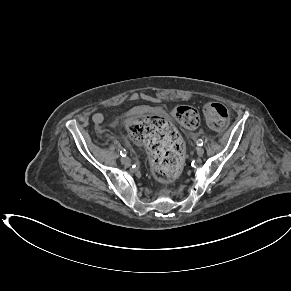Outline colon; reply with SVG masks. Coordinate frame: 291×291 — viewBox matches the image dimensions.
<instances>
[{
  "instance_id": "5ec220e1",
  "label": "colon",
  "mask_w": 291,
  "mask_h": 291,
  "mask_svg": "<svg viewBox=\"0 0 291 291\" xmlns=\"http://www.w3.org/2000/svg\"><path fill=\"white\" fill-rule=\"evenodd\" d=\"M202 111L206 123L213 129L222 130L227 126L229 114L222 104L207 103ZM173 117L188 129H195L200 123L198 112L187 105L176 106ZM128 129L132 138L148 149L159 182L169 183L180 176L185 147L171 123L159 116L144 115L130 120Z\"/></svg>"
}]
</instances>
